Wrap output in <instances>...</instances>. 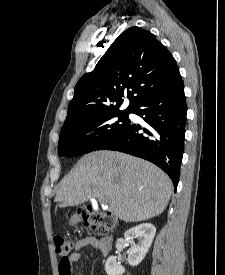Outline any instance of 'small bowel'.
<instances>
[{
  "label": "small bowel",
  "instance_id": "c3829d8e",
  "mask_svg": "<svg viewBox=\"0 0 225 275\" xmlns=\"http://www.w3.org/2000/svg\"><path fill=\"white\" fill-rule=\"evenodd\" d=\"M91 247L102 252V242L94 236H87L76 241L74 246V252L69 256V261L77 264L83 255V252L86 248ZM77 271H80V268L77 267Z\"/></svg>",
  "mask_w": 225,
  "mask_h": 275
}]
</instances>
